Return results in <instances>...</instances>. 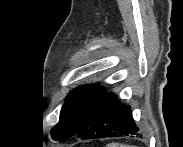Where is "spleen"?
I'll return each instance as SVG.
<instances>
[{"instance_id":"spleen-1","label":"spleen","mask_w":183,"mask_h":147,"mask_svg":"<svg viewBox=\"0 0 183 147\" xmlns=\"http://www.w3.org/2000/svg\"><path fill=\"white\" fill-rule=\"evenodd\" d=\"M107 147H131V146L124 145V144H118V143H112V144H108Z\"/></svg>"}]
</instances>
